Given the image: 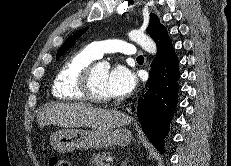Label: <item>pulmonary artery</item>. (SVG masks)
<instances>
[{
    "mask_svg": "<svg viewBox=\"0 0 231 166\" xmlns=\"http://www.w3.org/2000/svg\"><path fill=\"white\" fill-rule=\"evenodd\" d=\"M88 47L97 58H101L105 53L121 52L129 56L137 54L133 44L118 39L92 42Z\"/></svg>",
    "mask_w": 231,
    "mask_h": 166,
    "instance_id": "1",
    "label": "pulmonary artery"
}]
</instances>
